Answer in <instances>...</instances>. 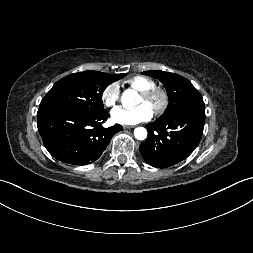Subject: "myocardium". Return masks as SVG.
<instances>
[{"mask_svg": "<svg viewBox=\"0 0 253 253\" xmlns=\"http://www.w3.org/2000/svg\"><path fill=\"white\" fill-rule=\"evenodd\" d=\"M140 95L146 102L151 104L153 112L157 115L163 113L169 104L168 93L160 86H153L147 90L141 91Z\"/></svg>", "mask_w": 253, "mask_h": 253, "instance_id": "f54148a6", "label": "myocardium"}]
</instances>
